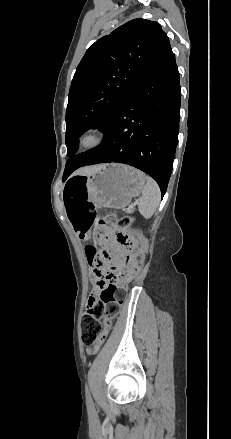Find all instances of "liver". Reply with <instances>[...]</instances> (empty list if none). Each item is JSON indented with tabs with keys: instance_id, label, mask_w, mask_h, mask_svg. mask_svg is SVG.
Instances as JSON below:
<instances>
[{
	"instance_id": "1",
	"label": "liver",
	"mask_w": 231,
	"mask_h": 439,
	"mask_svg": "<svg viewBox=\"0 0 231 439\" xmlns=\"http://www.w3.org/2000/svg\"><path fill=\"white\" fill-rule=\"evenodd\" d=\"M104 165H96V166H91V167H85V168H81L79 170H77L74 175H82V176H87L90 175L92 173H94L95 171L99 170L100 168H102Z\"/></svg>"
}]
</instances>
